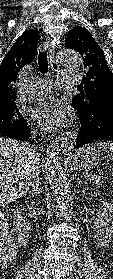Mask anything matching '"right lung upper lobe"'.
Returning <instances> with one entry per match:
<instances>
[{
    "label": "right lung upper lobe",
    "instance_id": "1",
    "mask_svg": "<svg viewBox=\"0 0 113 279\" xmlns=\"http://www.w3.org/2000/svg\"><path fill=\"white\" fill-rule=\"evenodd\" d=\"M39 37L35 30L25 31L5 55L0 65V108L15 103L14 83L20 70L34 60Z\"/></svg>",
    "mask_w": 113,
    "mask_h": 279
}]
</instances>
